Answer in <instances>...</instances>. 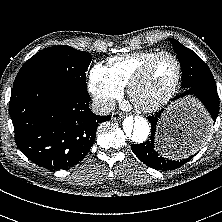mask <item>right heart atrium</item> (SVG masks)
Returning <instances> with one entry per match:
<instances>
[{"label": "right heart atrium", "mask_w": 222, "mask_h": 222, "mask_svg": "<svg viewBox=\"0 0 222 222\" xmlns=\"http://www.w3.org/2000/svg\"><path fill=\"white\" fill-rule=\"evenodd\" d=\"M89 90L104 111L110 110L114 101L123 95V89L111 79L107 68L99 64L91 70Z\"/></svg>", "instance_id": "obj_1"}]
</instances>
